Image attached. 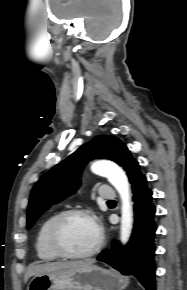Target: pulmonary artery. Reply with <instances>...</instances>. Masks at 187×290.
Listing matches in <instances>:
<instances>
[{"label": "pulmonary artery", "instance_id": "pulmonary-artery-1", "mask_svg": "<svg viewBox=\"0 0 187 290\" xmlns=\"http://www.w3.org/2000/svg\"><path fill=\"white\" fill-rule=\"evenodd\" d=\"M100 198L107 201H112L116 199V193L107 187H102L99 191Z\"/></svg>", "mask_w": 187, "mask_h": 290}]
</instances>
